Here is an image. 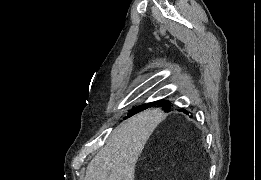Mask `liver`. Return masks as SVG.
<instances>
[{"label":"liver","instance_id":"obj_1","mask_svg":"<svg viewBox=\"0 0 261 180\" xmlns=\"http://www.w3.org/2000/svg\"><path fill=\"white\" fill-rule=\"evenodd\" d=\"M152 114L146 110L122 122L89 162L84 180H134L135 164L152 134Z\"/></svg>","mask_w":261,"mask_h":180}]
</instances>
